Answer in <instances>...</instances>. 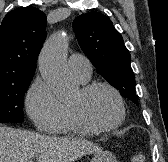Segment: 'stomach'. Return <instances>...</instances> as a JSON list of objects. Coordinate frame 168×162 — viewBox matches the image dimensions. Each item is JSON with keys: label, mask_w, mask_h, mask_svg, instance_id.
I'll use <instances>...</instances> for the list:
<instances>
[{"label": "stomach", "mask_w": 168, "mask_h": 162, "mask_svg": "<svg viewBox=\"0 0 168 162\" xmlns=\"http://www.w3.org/2000/svg\"><path fill=\"white\" fill-rule=\"evenodd\" d=\"M91 162H117L116 157L109 151L96 152Z\"/></svg>", "instance_id": "obj_1"}]
</instances>
